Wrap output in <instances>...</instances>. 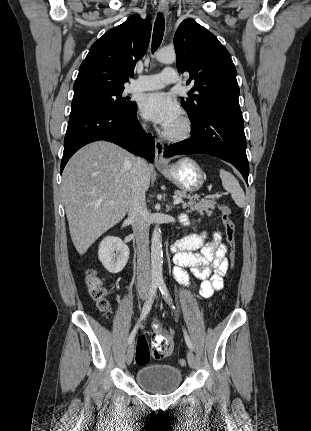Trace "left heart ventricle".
Listing matches in <instances>:
<instances>
[{
	"label": "left heart ventricle",
	"mask_w": 311,
	"mask_h": 431,
	"mask_svg": "<svg viewBox=\"0 0 311 431\" xmlns=\"http://www.w3.org/2000/svg\"><path fill=\"white\" fill-rule=\"evenodd\" d=\"M180 128V120L177 121V123L172 126L170 129H168V132H175Z\"/></svg>",
	"instance_id": "obj_1"
}]
</instances>
